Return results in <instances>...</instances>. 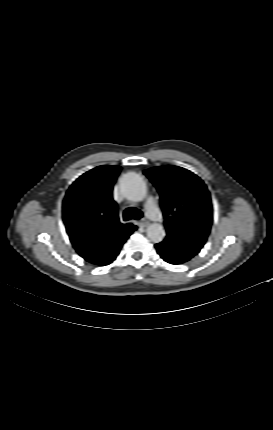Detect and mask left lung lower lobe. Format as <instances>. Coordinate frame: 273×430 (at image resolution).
<instances>
[{
    "label": "left lung lower lobe",
    "mask_w": 273,
    "mask_h": 430,
    "mask_svg": "<svg viewBox=\"0 0 273 430\" xmlns=\"http://www.w3.org/2000/svg\"><path fill=\"white\" fill-rule=\"evenodd\" d=\"M169 245L170 243L165 241L155 244L156 250L162 259L170 264H181L188 261L186 256H184L180 251L175 250L171 252L169 250Z\"/></svg>",
    "instance_id": "1"
}]
</instances>
